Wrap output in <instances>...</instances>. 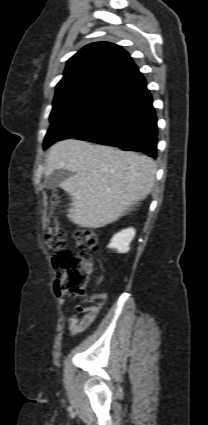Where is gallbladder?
I'll return each instance as SVG.
<instances>
[{
    "instance_id": "1",
    "label": "gallbladder",
    "mask_w": 208,
    "mask_h": 425,
    "mask_svg": "<svg viewBox=\"0 0 208 425\" xmlns=\"http://www.w3.org/2000/svg\"><path fill=\"white\" fill-rule=\"evenodd\" d=\"M71 175L70 171L67 170H55L52 174H50L44 183L45 188L47 189H55L60 186L66 179H68Z\"/></svg>"
}]
</instances>
